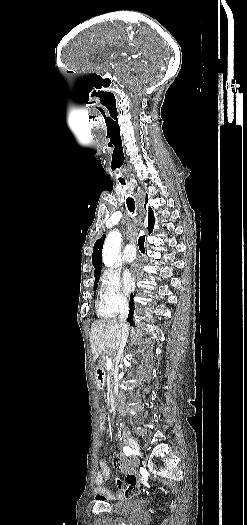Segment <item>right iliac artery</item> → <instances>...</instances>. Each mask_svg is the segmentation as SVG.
Segmentation results:
<instances>
[{
    "instance_id": "obj_1",
    "label": "right iliac artery",
    "mask_w": 247,
    "mask_h": 525,
    "mask_svg": "<svg viewBox=\"0 0 247 525\" xmlns=\"http://www.w3.org/2000/svg\"><path fill=\"white\" fill-rule=\"evenodd\" d=\"M123 452L125 455L130 456L132 454V449L130 447H123Z\"/></svg>"
}]
</instances>
